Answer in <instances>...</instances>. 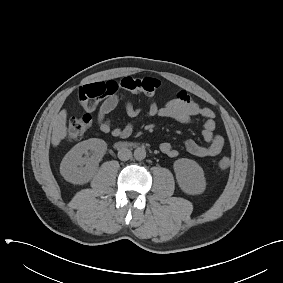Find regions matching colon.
I'll list each match as a JSON object with an SVG mask.
<instances>
[{
	"instance_id": "5ec220e1",
	"label": "colon",
	"mask_w": 283,
	"mask_h": 283,
	"mask_svg": "<svg viewBox=\"0 0 283 283\" xmlns=\"http://www.w3.org/2000/svg\"><path fill=\"white\" fill-rule=\"evenodd\" d=\"M160 86L159 80L153 77H124L117 82V92L123 93H144L147 95L154 94ZM92 118L89 114L74 116L68 120L66 129V138L68 141L81 139L92 126ZM217 166L220 169H227L230 166V159L223 157L218 160Z\"/></svg>"
}]
</instances>
